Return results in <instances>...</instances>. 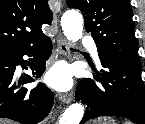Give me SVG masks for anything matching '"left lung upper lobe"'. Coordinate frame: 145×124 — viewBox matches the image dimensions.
<instances>
[{
    "label": "left lung upper lobe",
    "mask_w": 145,
    "mask_h": 124,
    "mask_svg": "<svg viewBox=\"0 0 145 124\" xmlns=\"http://www.w3.org/2000/svg\"><path fill=\"white\" fill-rule=\"evenodd\" d=\"M79 9L100 60H115L141 69L129 0H66Z\"/></svg>",
    "instance_id": "obj_1"
}]
</instances>
